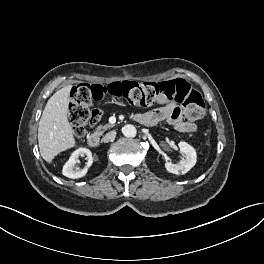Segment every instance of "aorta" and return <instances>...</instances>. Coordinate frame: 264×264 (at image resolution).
Returning <instances> with one entry per match:
<instances>
[{
  "mask_svg": "<svg viewBox=\"0 0 264 264\" xmlns=\"http://www.w3.org/2000/svg\"><path fill=\"white\" fill-rule=\"evenodd\" d=\"M122 133L128 138H133L136 136L137 130L133 125L127 124L122 128Z\"/></svg>",
  "mask_w": 264,
  "mask_h": 264,
  "instance_id": "aorta-1",
  "label": "aorta"
}]
</instances>
